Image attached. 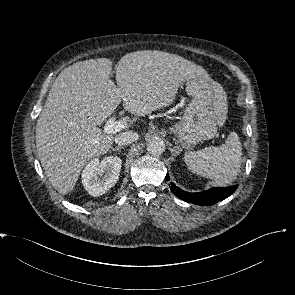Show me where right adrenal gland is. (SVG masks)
Masks as SVG:
<instances>
[{"instance_id": "2a0ac1e0", "label": "right adrenal gland", "mask_w": 295, "mask_h": 295, "mask_svg": "<svg viewBox=\"0 0 295 295\" xmlns=\"http://www.w3.org/2000/svg\"><path fill=\"white\" fill-rule=\"evenodd\" d=\"M121 149H124L123 146H116L115 148H112L111 151H120Z\"/></svg>"}]
</instances>
